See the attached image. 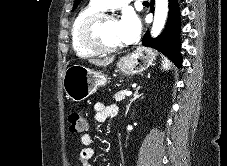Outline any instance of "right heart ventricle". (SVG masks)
Returning a JSON list of instances; mask_svg holds the SVG:
<instances>
[{"label": "right heart ventricle", "instance_id": "obj_1", "mask_svg": "<svg viewBox=\"0 0 227 166\" xmlns=\"http://www.w3.org/2000/svg\"><path fill=\"white\" fill-rule=\"evenodd\" d=\"M104 11L101 9L94 1H90V3L81 9L78 14L75 16L72 26H71V45L73 51L76 55L80 57H91L95 55V52L83 46L79 40V28L82 22L90 15Z\"/></svg>", "mask_w": 227, "mask_h": 166}]
</instances>
